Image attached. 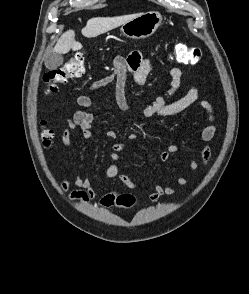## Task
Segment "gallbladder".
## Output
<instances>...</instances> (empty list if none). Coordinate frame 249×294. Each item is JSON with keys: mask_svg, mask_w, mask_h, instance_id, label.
Here are the masks:
<instances>
[{"mask_svg": "<svg viewBox=\"0 0 249 294\" xmlns=\"http://www.w3.org/2000/svg\"><path fill=\"white\" fill-rule=\"evenodd\" d=\"M63 64V56L53 52L45 58V66L48 70H55Z\"/></svg>", "mask_w": 249, "mask_h": 294, "instance_id": "gallbladder-1", "label": "gallbladder"}]
</instances>
